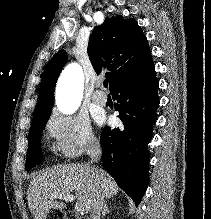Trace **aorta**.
<instances>
[{
	"label": "aorta",
	"mask_w": 211,
	"mask_h": 219,
	"mask_svg": "<svg viewBox=\"0 0 211 219\" xmlns=\"http://www.w3.org/2000/svg\"><path fill=\"white\" fill-rule=\"evenodd\" d=\"M84 75L77 63L69 64L61 73L56 88V104L63 114L74 113L81 102Z\"/></svg>",
	"instance_id": "1"
}]
</instances>
